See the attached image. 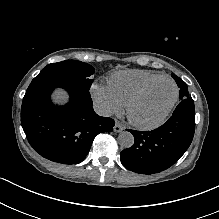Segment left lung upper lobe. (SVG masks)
Listing matches in <instances>:
<instances>
[{"label": "left lung upper lobe", "mask_w": 219, "mask_h": 219, "mask_svg": "<svg viewBox=\"0 0 219 219\" xmlns=\"http://www.w3.org/2000/svg\"><path fill=\"white\" fill-rule=\"evenodd\" d=\"M172 77L174 78V80L176 81L178 87L180 88V99L183 100L185 98H189V92L187 89V85L184 81H182L179 77H177L175 74H172Z\"/></svg>", "instance_id": "left-lung-upper-lobe-1"}]
</instances>
